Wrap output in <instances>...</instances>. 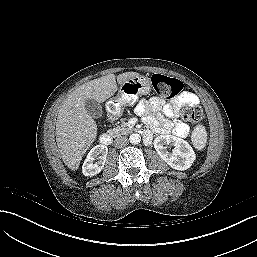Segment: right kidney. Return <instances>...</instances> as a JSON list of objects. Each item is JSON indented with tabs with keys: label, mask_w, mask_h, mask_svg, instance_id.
<instances>
[{
	"label": "right kidney",
	"mask_w": 257,
	"mask_h": 257,
	"mask_svg": "<svg viewBox=\"0 0 257 257\" xmlns=\"http://www.w3.org/2000/svg\"><path fill=\"white\" fill-rule=\"evenodd\" d=\"M108 148L106 145L100 144L94 146L88 153L82 166V173L85 176H94L101 172L106 162ZM98 159L96 162H94Z\"/></svg>",
	"instance_id": "1"
}]
</instances>
